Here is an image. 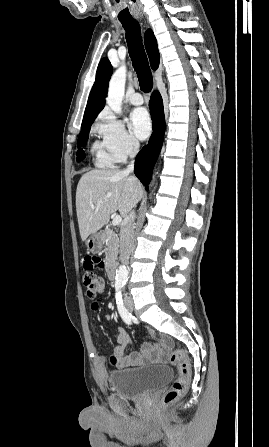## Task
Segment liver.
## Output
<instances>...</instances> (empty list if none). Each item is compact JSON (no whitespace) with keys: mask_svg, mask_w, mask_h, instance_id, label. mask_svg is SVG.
Segmentation results:
<instances>
[{"mask_svg":"<svg viewBox=\"0 0 269 447\" xmlns=\"http://www.w3.org/2000/svg\"><path fill=\"white\" fill-rule=\"evenodd\" d=\"M143 196L137 178L120 170H91L83 174L76 190V212L82 241L107 224L111 214L126 218Z\"/></svg>","mask_w":269,"mask_h":447,"instance_id":"1","label":"liver"}]
</instances>
